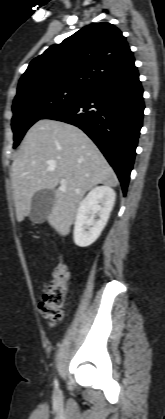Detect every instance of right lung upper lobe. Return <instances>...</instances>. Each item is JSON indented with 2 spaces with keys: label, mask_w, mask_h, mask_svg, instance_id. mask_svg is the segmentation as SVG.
<instances>
[{
  "label": "right lung upper lobe",
  "mask_w": 165,
  "mask_h": 419,
  "mask_svg": "<svg viewBox=\"0 0 165 419\" xmlns=\"http://www.w3.org/2000/svg\"><path fill=\"white\" fill-rule=\"evenodd\" d=\"M134 62L118 28L107 22L92 23L33 59L19 80L15 99L53 87L89 92Z\"/></svg>",
  "instance_id": "obj_1"
}]
</instances>
